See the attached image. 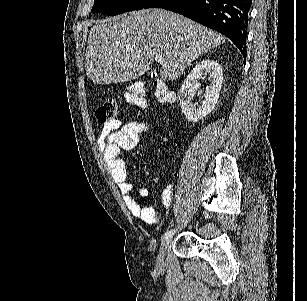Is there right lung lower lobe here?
Wrapping results in <instances>:
<instances>
[{"instance_id":"right-lung-lower-lobe-1","label":"right lung lower lobe","mask_w":307,"mask_h":301,"mask_svg":"<svg viewBox=\"0 0 307 301\" xmlns=\"http://www.w3.org/2000/svg\"><path fill=\"white\" fill-rule=\"evenodd\" d=\"M251 0H152L144 8H164L226 35L246 58Z\"/></svg>"}]
</instances>
